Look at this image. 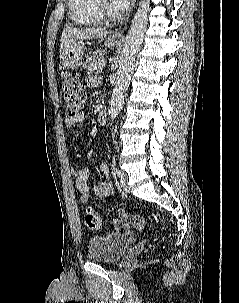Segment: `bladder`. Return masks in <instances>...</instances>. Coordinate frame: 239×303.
Segmentation results:
<instances>
[{"label":"bladder","instance_id":"bladder-1","mask_svg":"<svg viewBox=\"0 0 239 303\" xmlns=\"http://www.w3.org/2000/svg\"><path fill=\"white\" fill-rule=\"evenodd\" d=\"M135 238L136 235L131 232L92 236L87 242L88 257L93 262L114 264L126 253Z\"/></svg>","mask_w":239,"mask_h":303}]
</instances>
